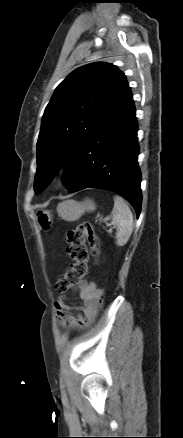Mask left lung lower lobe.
Listing matches in <instances>:
<instances>
[{
  "mask_svg": "<svg viewBox=\"0 0 183 438\" xmlns=\"http://www.w3.org/2000/svg\"><path fill=\"white\" fill-rule=\"evenodd\" d=\"M137 122L130 95L125 102L76 149L65 164L69 192L99 188L123 196L141 211V173L137 164Z\"/></svg>",
  "mask_w": 183,
  "mask_h": 438,
  "instance_id": "obj_1",
  "label": "left lung lower lobe"
}]
</instances>
